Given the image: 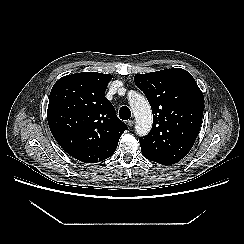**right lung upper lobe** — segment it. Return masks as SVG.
Here are the masks:
<instances>
[{"instance_id": "cb5924a9", "label": "right lung upper lobe", "mask_w": 244, "mask_h": 244, "mask_svg": "<svg viewBox=\"0 0 244 244\" xmlns=\"http://www.w3.org/2000/svg\"><path fill=\"white\" fill-rule=\"evenodd\" d=\"M109 74L82 72L60 78L47 110L50 130L73 158L96 163L110 157L128 127L105 97Z\"/></svg>"}]
</instances>
